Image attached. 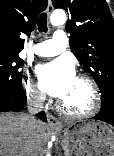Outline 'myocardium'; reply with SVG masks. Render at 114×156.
Here are the masks:
<instances>
[{"label":"myocardium","instance_id":"obj_1","mask_svg":"<svg viewBox=\"0 0 114 156\" xmlns=\"http://www.w3.org/2000/svg\"><path fill=\"white\" fill-rule=\"evenodd\" d=\"M77 78L85 81L89 85L91 92H92V105L87 111L71 112L68 109H66V107L63 105L61 100L58 101L57 102L58 111L63 116L70 118V119H84V118L91 117L95 115L101 107V95H100L99 87L97 83L95 82V80L91 76L85 73L79 74Z\"/></svg>","mask_w":114,"mask_h":156}]
</instances>
